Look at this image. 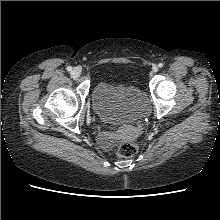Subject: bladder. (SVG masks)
<instances>
[{
  "instance_id": "obj_1",
  "label": "bladder",
  "mask_w": 220,
  "mask_h": 220,
  "mask_svg": "<svg viewBox=\"0 0 220 220\" xmlns=\"http://www.w3.org/2000/svg\"><path fill=\"white\" fill-rule=\"evenodd\" d=\"M92 102L108 121L119 126L135 123L150 111L149 101L141 88L109 79L95 83Z\"/></svg>"
}]
</instances>
